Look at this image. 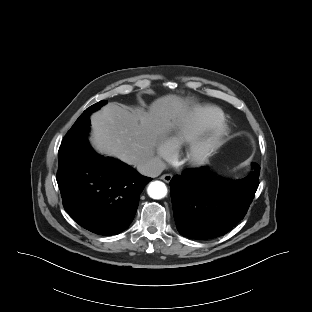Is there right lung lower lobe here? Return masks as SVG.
<instances>
[{"mask_svg":"<svg viewBox=\"0 0 312 312\" xmlns=\"http://www.w3.org/2000/svg\"><path fill=\"white\" fill-rule=\"evenodd\" d=\"M151 180L119 160L98 155L88 141L57 173L68 214L83 228L105 236L130 225L140 193Z\"/></svg>","mask_w":312,"mask_h":312,"instance_id":"right-lung-lower-lobe-1","label":"right lung lower lobe"}]
</instances>
